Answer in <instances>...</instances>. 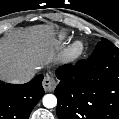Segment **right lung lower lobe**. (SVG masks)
I'll return each mask as SVG.
<instances>
[{
  "label": "right lung lower lobe",
  "instance_id": "obj_1",
  "mask_svg": "<svg viewBox=\"0 0 119 119\" xmlns=\"http://www.w3.org/2000/svg\"><path fill=\"white\" fill-rule=\"evenodd\" d=\"M43 75L26 84H4L0 81V119H29L35 105L45 94Z\"/></svg>",
  "mask_w": 119,
  "mask_h": 119
}]
</instances>
